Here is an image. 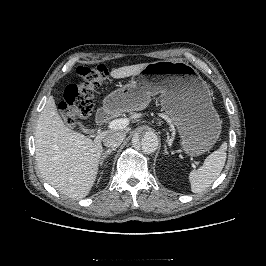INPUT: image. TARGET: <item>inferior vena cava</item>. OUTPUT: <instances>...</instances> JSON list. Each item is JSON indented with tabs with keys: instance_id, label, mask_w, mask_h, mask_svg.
<instances>
[{
	"instance_id": "inferior-vena-cava-1",
	"label": "inferior vena cava",
	"mask_w": 266,
	"mask_h": 266,
	"mask_svg": "<svg viewBox=\"0 0 266 266\" xmlns=\"http://www.w3.org/2000/svg\"><path fill=\"white\" fill-rule=\"evenodd\" d=\"M126 134L120 131L107 132L103 137V143L106 147L116 148L121 145Z\"/></svg>"
}]
</instances>
